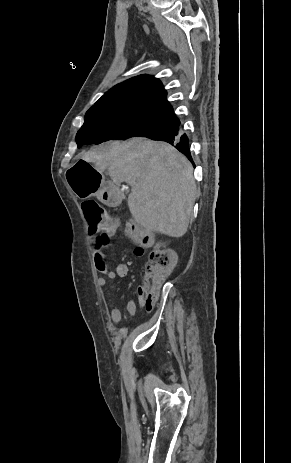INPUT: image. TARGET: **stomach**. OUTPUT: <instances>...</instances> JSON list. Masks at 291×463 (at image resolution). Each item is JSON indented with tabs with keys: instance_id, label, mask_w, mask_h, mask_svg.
<instances>
[{
	"instance_id": "1",
	"label": "stomach",
	"mask_w": 291,
	"mask_h": 463,
	"mask_svg": "<svg viewBox=\"0 0 291 463\" xmlns=\"http://www.w3.org/2000/svg\"><path fill=\"white\" fill-rule=\"evenodd\" d=\"M77 165L67 171L65 182L70 184L78 198L84 199L95 195L106 205L117 203V188L105 183L101 173L94 166L87 163L84 157L77 159Z\"/></svg>"
}]
</instances>
